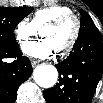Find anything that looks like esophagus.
<instances>
[{"instance_id":"1","label":"esophagus","mask_w":103,"mask_h":103,"mask_svg":"<svg viewBox=\"0 0 103 103\" xmlns=\"http://www.w3.org/2000/svg\"><path fill=\"white\" fill-rule=\"evenodd\" d=\"M40 61L37 59H31L32 66H36Z\"/></svg>"}]
</instances>
